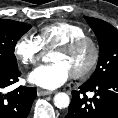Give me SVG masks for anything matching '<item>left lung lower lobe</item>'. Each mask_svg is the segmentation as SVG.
Returning <instances> with one entry per match:
<instances>
[{
    "label": "left lung lower lobe",
    "instance_id": "0a47b994",
    "mask_svg": "<svg viewBox=\"0 0 118 118\" xmlns=\"http://www.w3.org/2000/svg\"><path fill=\"white\" fill-rule=\"evenodd\" d=\"M72 92L65 118H118V76L97 83H87ZM94 92L87 98L86 92Z\"/></svg>",
    "mask_w": 118,
    "mask_h": 118
}]
</instances>
